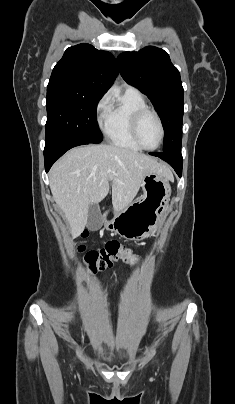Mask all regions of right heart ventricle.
Listing matches in <instances>:
<instances>
[{"label": "right heart ventricle", "mask_w": 235, "mask_h": 404, "mask_svg": "<svg viewBox=\"0 0 235 404\" xmlns=\"http://www.w3.org/2000/svg\"><path fill=\"white\" fill-rule=\"evenodd\" d=\"M144 107H147V104L142 94L137 90L128 89L110 104L103 132L112 145L129 150H141L131 135V120L134 113Z\"/></svg>", "instance_id": "1"}]
</instances>
